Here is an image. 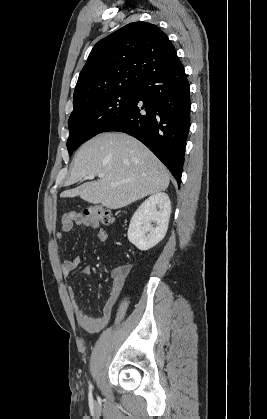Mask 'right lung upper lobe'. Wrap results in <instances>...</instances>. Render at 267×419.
<instances>
[{
	"label": "right lung upper lobe",
	"instance_id": "cb5924a9",
	"mask_svg": "<svg viewBox=\"0 0 267 419\" xmlns=\"http://www.w3.org/2000/svg\"><path fill=\"white\" fill-rule=\"evenodd\" d=\"M178 60L174 46L158 26L130 23L93 47L79 74L73 104L101 92L139 87L147 77Z\"/></svg>",
	"mask_w": 267,
	"mask_h": 419
}]
</instances>
